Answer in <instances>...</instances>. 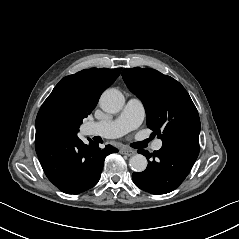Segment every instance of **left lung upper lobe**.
<instances>
[{"label":"left lung upper lobe","instance_id":"5c2ea615","mask_svg":"<svg viewBox=\"0 0 239 239\" xmlns=\"http://www.w3.org/2000/svg\"><path fill=\"white\" fill-rule=\"evenodd\" d=\"M122 76L142 101L152 135L157 134L163 142L181 137L199 139L197 109L178 81L150 68L124 69Z\"/></svg>","mask_w":239,"mask_h":239}]
</instances>
